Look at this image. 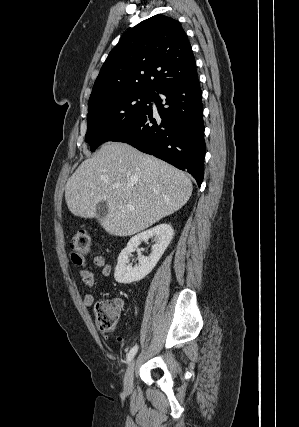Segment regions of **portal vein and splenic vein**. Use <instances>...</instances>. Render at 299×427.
<instances>
[{
	"mask_svg": "<svg viewBox=\"0 0 299 427\" xmlns=\"http://www.w3.org/2000/svg\"><path fill=\"white\" fill-rule=\"evenodd\" d=\"M128 207H129L130 209H134V207H133V206H131V205H129Z\"/></svg>",
	"mask_w": 299,
	"mask_h": 427,
	"instance_id": "18ae733b",
	"label": "portal vein and splenic vein"
}]
</instances>
